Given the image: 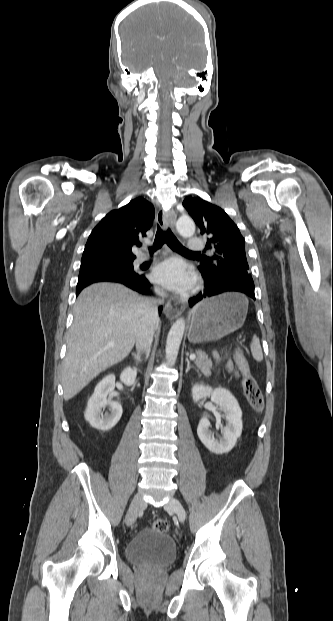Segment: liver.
<instances>
[{"label": "liver", "instance_id": "obj_1", "mask_svg": "<svg viewBox=\"0 0 333 621\" xmlns=\"http://www.w3.org/2000/svg\"><path fill=\"white\" fill-rule=\"evenodd\" d=\"M144 300L113 283L93 284L79 294L62 365L65 400L128 356L142 324L150 320Z\"/></svg>", "mask_w": 333, "mask_h": 621}]
</instances>
